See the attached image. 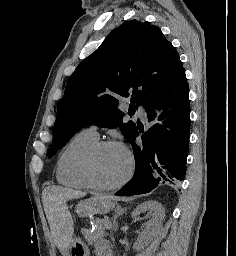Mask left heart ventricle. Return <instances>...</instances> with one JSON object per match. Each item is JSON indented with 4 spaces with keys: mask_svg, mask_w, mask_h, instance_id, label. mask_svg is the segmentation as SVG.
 Wrapping results in <instances>:
<instances>
[{
    "mask_svg": "<svg viewBox=\"0 0 236 256\" xmlns=\"http://www.w3.org/2000/svg\"><path fill=\"white\" fill-rule=\"evenodd\" d=\"M127 166V157L120 147L106 148L95 159V180L102 186L113 185L125 175Z\"/></svg>",
    "mask_w": 236,
    "mask_h": 256,
    "instance_id": "obj_1",
    "label": "left heart ventricle"
}]
</instances>
